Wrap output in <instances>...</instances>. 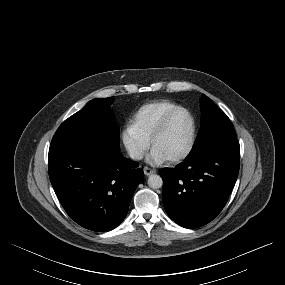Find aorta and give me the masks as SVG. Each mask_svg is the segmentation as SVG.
I'll return each instance as SVG.
<instances>
[{
  "instance_id": "obj_1",
  "label": "aorta",
  "mask_w": 285,
  "mask_h": 285,
  "mask_svg": "<svg viewBox=\"0 0 285 285\" xmlns=\"http://www.w3.org/2000/svg\"><path fill=\"white\" fill-rule=\"evenodd\" d=\"M163 185V180L159 175H151L148 178V186L152 189L161 188Z\"/></svg>"
}]
</instances>
